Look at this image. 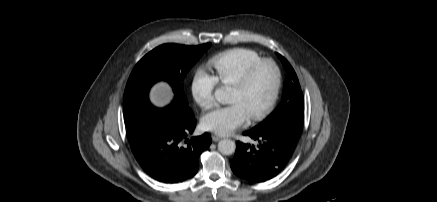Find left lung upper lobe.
Returning <instances> with one entry per match:
<instances>
[{"label": "left lung upper lobe", "mask_w": 437, "mask_h": 202, "mask_svg": "<svg viewBox=\"0 0 437 202\" xmlns=\"http://www.w3.org/2000/svg\"><path fill=\"white\" fill-rule=\"evenodd\" d=\"M277 55L287 73L282 102L272 114L252 129L279 132L296 141L303 119L304 97L294 69L283 56Z\"/></svg>", "instance_id": "left-lung-upper-lobe-1"}]
</instances>
